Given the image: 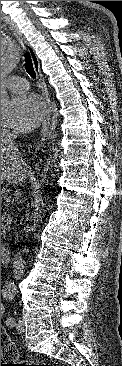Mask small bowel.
<instances>
[{
  "label": "small bowel",
  "mask_w": 122,
  "mask_h": 366,
  "mask_svg": "<svg viewBox=\"0 0 122 366\" xmlns=\"http://www.w3.org/2000/svg\"><path fill=\"white\" fill-rule=\"evenodd\" d=\"M3 312H4V307H3V305L1 304V317H2V315H3Z\"/></svg>",
  "instance_id": "obj_1"
}]
</instances>
